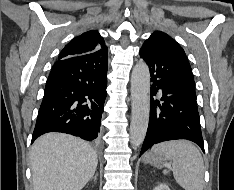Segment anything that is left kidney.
<instances>
[{
    "label": "left kidney",
    "mask_w": 234,
    "mask_h": 190,
    "mask_svg": "<svg viewBox=\"0 0 234 190\" xmlns=\"http://www.w3.org/2000/svg\"><path fill=\"white\" fill-rule=\"evenodd\" d=\"M153 190H170L168 185L161 183L158 186H156Z\"/></svg>",
    "instance_id": "1"
}]
</instances>
